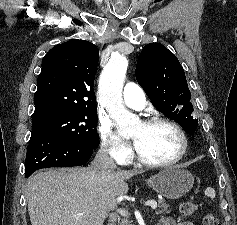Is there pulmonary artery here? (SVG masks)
Instances as JSON below:
<instances>
[{"instance_id": "e3ab8cb5", "label": "pulmonary artery", "mask_w": 237, "mask_h": 225, "mask_svg": "<svg viewBox=\"0 0 237 225\" xmlns=\"http://www.w3.org/2000/svg\"><path fill=\"white\" fill-rule=\"evenodd\" d=\"M123 101L133 109H142L146 105L145 93L138 84L128 82L123 90Z\"/></svg>"}]
</instances>
